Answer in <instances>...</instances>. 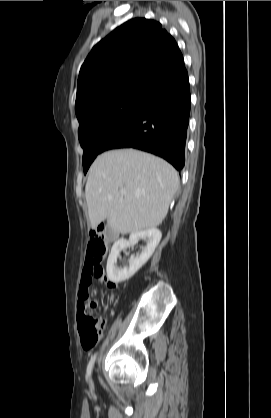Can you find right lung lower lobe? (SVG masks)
Segmentation results:
<instances>
[{"label": "right lung lower lobe", "instance_id": "1", "mask_svg": "<svg viewBox=\"0 0 271 418\" xmlns=\"http://www.w3.org/2000/svg\"><path fill=\"white\" fill-rule=\"evenodd\" d=\"M190 104L185 69L175 81L121 124L103 143L100 153L116 148H136L158 155L181 170L185 164Z\"/></svg>", "mask_w": 271, "mask_h": 418}]
</instances>
